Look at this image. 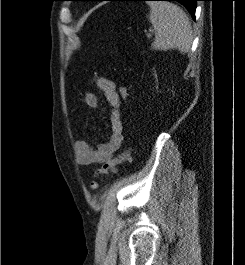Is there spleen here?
Here are the masks:
<instances>
[{"mask_svg": "<svg viewBox=\"0 0 245 265\" xmlns=\"http://www.w3.org/2000/svg\"><path fill=\"white\" fill-rule=\"evenodd\" d=\"M147 4L150 7L148 18L155 31L152 49H178L187 53L191 48L193 36L186 13L177 5L166 1H151Z\"/></svg>", "mask_w": 245, "mask_h": 265, "instance_id": "1", "label": "spleen"}]
</instances>
